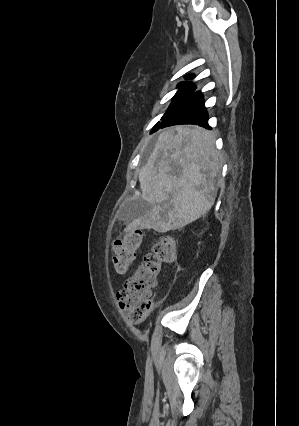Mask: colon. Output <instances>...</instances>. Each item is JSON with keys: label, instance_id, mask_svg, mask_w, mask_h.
<instances>
[{"label": "colon", "instance_id": "5ec220e1", "mask_svg": "<svg viewBox=\"0 0 299 426\" xmlns=\"http://www.w3.org/2000/svg\"><path fill=\"white\" fill-rule=\"evenodd\" d=\"M142 237L140 231H132L115 241L112 262L118 273H125L134 261ZM176 253L175 240L171 236L161 237L144 255L133 275L124 282L117 299L131 322L141 323L152 309V292L157 285V277L164 264L175 260Z\"/></svg>", "mask_w": 299, "mask_h": 426}]
</instances>
